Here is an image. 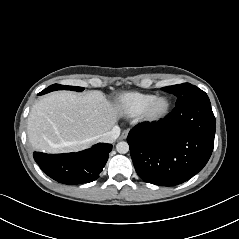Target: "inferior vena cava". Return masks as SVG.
Instances as JSON below:
<instances>
[{
    "instance_id": "obj_1",
    "label": "inferior vena cava",
    "mask_w": 239,
    "mask_h": 239,
    "mask_svg": "<svg viewBox=\"0 0 239 239\" xmlns=\"http://www.w3.org/2000/svg\"><path fill=\"white\" fill-rule=\"evenodd\" d=\"M120 135V128L118 126H114L110 131L102 133L98 137V141L104 143H113L118 136Z\"/></svg>"
}]
</instances>
